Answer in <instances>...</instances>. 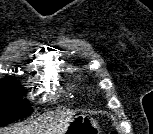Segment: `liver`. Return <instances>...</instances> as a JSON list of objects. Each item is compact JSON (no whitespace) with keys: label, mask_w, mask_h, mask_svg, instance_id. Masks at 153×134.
<instances>
[{"label":"liver","mask_w":153,"mask_h":134,"mask_svg":"<svg viewBox=\"0 0 153 134\" xmlns=\"http://www.w3.org/2000/svg\"><path fill=\"white\" fill-rule=\"evenodd\" d=\"M74 115L73 111L67 110L66 112H58L55 115V122L50 123L44 132L46 134H63ZM57 122H59L57 124ZM45 125L33 123L28 126H20L16 128L0 130V134H40L43 132Z\"/></svg>","instance_id":"1"}]
</instances>
